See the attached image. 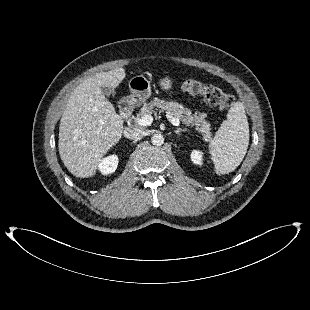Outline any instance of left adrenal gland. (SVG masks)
Returning <instances> with one entry per match:
<instances>
[{
  "label": "left adrenal gland",
  "instance_id": "a2214340",
  "mask_svg": "<svg viewBox=\"0 0 310 310\" xmlns=\"http://www.w3.org/2000/svg\"><path fill=\"white\" fill-rule=\"evenodd\" d=\"M186 131H188L186 128H185V129L178 128V129L175 130L174 132H175L176 134H179L180 132H186Z\"/></svg>",
  "mask_w": 310,
  "mask_h": 310
}]
</instances>
